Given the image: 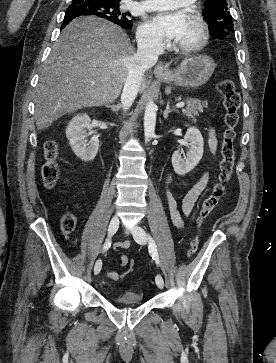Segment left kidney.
<instances>
[{"label":"left kidney","instance_id":"obj_1","mask_svg":"<svg viewBox=\"0 0 276 363\" xmlns=\"http://www.w3.org/2000/svg\"><path fill=\"white\" fill-rule=\"evenodd\" d=\"M184 142L189 147L188 152L185 154L183 150H177L172 155L173 169L180 176L187 174L197 166L204 151L203 137L196 127H188Z\"/></svg>","mask_w":276,"mask_h":363}]
</instances>
